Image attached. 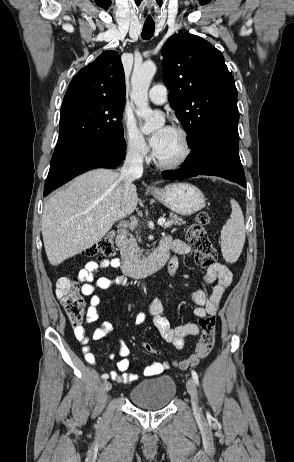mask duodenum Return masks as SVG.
I'll use <instances>...</instances> for the list:
<instances>
[{
    "instance_id": "obj_1",
    "label": "duodenum",
    "mask_w": 294,
    "mask_h": 462,
    "mask_svg": "<svg viewBox=\"0 0 294 462\" xmlns=\"http://www.w3.org/2000/svg\"><path fill=\"white\" fill-rule=\"evenodd\" d=\"M127 235V228L120 227L115 239L116 245L121 251V268L126 276L137 277L150 274L164 266L169 256V246L167 244L160 243L148 257L135 260L128 255Z\"/></svg>"
}]
</instances>
